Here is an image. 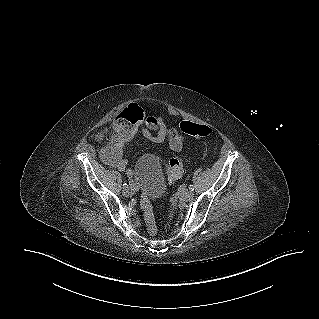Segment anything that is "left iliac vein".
<instances>
[{
  "label": "left iliac vein",
  "mask_w": 319,
  "mask_h": 319,
  "mask_svg": "<svg viewBox=\"0 0 319 319\" xmlns=\"http://www.w3.org/2000/svg\"><path fill=\"white\" fill-rule=\"evenodd\" d=\"M193 198H194V194L191 191H188V192L184 193V195H183L184 201H192Z\"/></svg>",
  "instance_id": "left-iliac-vein-1"
}]
</instances>
